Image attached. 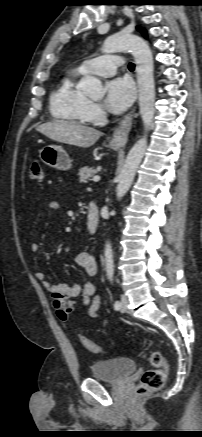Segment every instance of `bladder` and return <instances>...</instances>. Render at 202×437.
<instances>
[{"label": "bladder", "mask_w": 202, "mask_h": 437, "mask_svg": "<svg viewBox=\"0 0 202 437\" xmlns=\"http://www.w3.org/2000/svg\"><path fill=\"white\" fill-rule=\"evenodd\" d=\"M136 368L137 365L133 359L118 357L94 362L90 366V372L95 379L117 383L134 373Z\"/></svg>", "instance_id": "bladder-1"}]
</instances>
